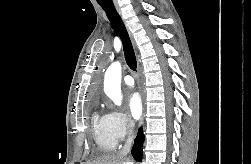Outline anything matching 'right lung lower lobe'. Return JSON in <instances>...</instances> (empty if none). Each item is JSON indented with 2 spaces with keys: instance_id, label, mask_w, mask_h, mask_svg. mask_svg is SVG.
Here are the masks:
<instances>
[{
  "instance_id": "1",
  "label": "right lung lower lobe",
  "mask_w": 251,
  "mask_h": 164,
  "mask_svg": "<svg viewBox=\"0 0 251 164\" xmlns=\"http://www.w3.org/2000/svg\"><path fill=\"white\" fill-rule=\"evenodd\" d=\"M144 137L142 129H139L138 135L135 139L134 146L132 148V155L138 162L142 160V148H143Z\"/></svg>"
}]
</instances>
